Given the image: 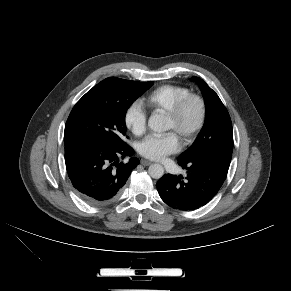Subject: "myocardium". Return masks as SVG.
Listing matches in <instances>:
<instances>
[{
  "label": "myocardium",
  "instance_id": "myocardium-1",
  "mask_svg": "<svg viewBox=\"0 0 291 291\" xmlns=\"http://www.w3.org/2000/svg\"><path fill=\"white\" fill-rule=\"evenodd\" d=\"M191 103L197 104L199 114H198L197 122L194 125V127L191 129V131L180 137L183 145L191 144L195 140L197 135L200 133V131L202 130V128L205 124L206 117H207V105H206L204 98L198 94L190 93L186 97L179 100L166 113L167 118H169L173 121H177L180 118V116L182 115V113L184 112V110L186 109V107Z\"/></svg>",
  "mask_w": 291,
  "mask_h": 291
}]
</instances>
